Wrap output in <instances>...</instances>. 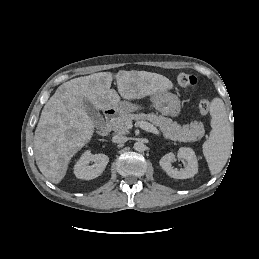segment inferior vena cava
<instances>
[{
  "label": "inferior vena cava",
  "instance_id": "obj_1",
  "mask_svg": "<svg viewBox=\"0 0 259 259\" xmlns=\"http://www.w3.org/2000/svg\"><path fill=\"white\" fill-rule=\"evenodd\" d=\"M128 140V138L126 136L123 135H115L112 138V141L114 143H125Z\"/></svg>",
  "mask_w": 259,
  "mask_h": 259
}]
</instances>
